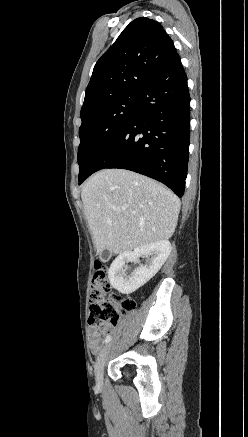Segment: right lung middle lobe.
I'll use <instances>...</instances> for the list:
<instances>
[{
	"label": "right lung middle lobe",
	"instance_id": "1",
	"mask_svg": "<svg viewBox=\"0 0 248 437\" xmlns=\"http://www.w3.org/2000/svg\"><path fill=\"white\" fill-rule=\"evenodd\" d=\"M137 95L120 97L82 120L78 147L79 179L89 171L95 157L121 130L131 116Z\"/></svg>",
	"mask_w": 248,
	"mask_h": 437
}]
</instances>
